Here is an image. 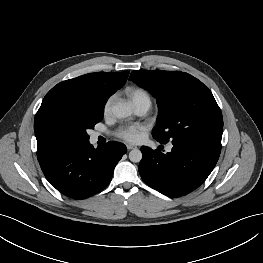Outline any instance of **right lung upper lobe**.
I'll list each match as a JSON object with an SVG mask.
<instances>
[{"label": "right lung upper lobe", "mask_w": 263, "mask_h": 263, "mask_svg": "<svg viewBox=\"0 0 263 263\" xmlns=\"http://www.w3.org/2000/svg\"><path fill=\"white\" fill-rule=\"evenodd\" d=\"M129 72L90 73L58 83L44 97L37 114L52 107H73L85 102L104 101L121 88Z\"/></svg>", "instance_id": "1"}]
</instances>
